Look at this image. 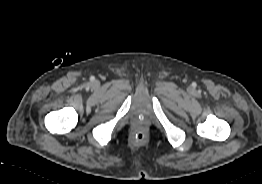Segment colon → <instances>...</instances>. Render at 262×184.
Returning <instances> with one entry per match:
<instances>
[{"mask_svg":"<svg viewBox=\"0 0 262 184\" xmlns=\"http://www.w3.org/2000/svg\"><path fill=\"white\" fill-rule=\"evenodd\" d=\"M145 133L144 132H142V131H137V132H135L134 133V139H135V141H137V142H142V141H144L145 140Z\"/></svg>","mask_w":262,"mask_h":184,"instance_id":"colon-1","label":"colon"}]
</instances>
